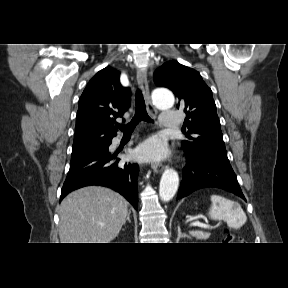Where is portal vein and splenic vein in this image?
<instances>
[{"label":"portal vein and splenic vein","mask_w":288,"mask_h":288,"mask_svg":"<svg viewBox=\"0 0 288 288\" xmlns=\"http://www.w3.org/2000/svg\"><path fill=\"white\" fill-rule=\"evenodd\" d=\"M191 226H193V227H201V228H205V229H209L210 228V226L208 224L201 223V222H193V223H191Z\"/></svg>","instance_id":"1"}]
</instances>
